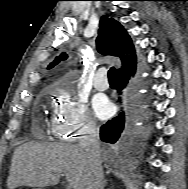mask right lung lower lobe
Segmentation results:
<instances>
[{
  "label": "right lung lower lobe",
  "instance_id": "1",
  "mask_svg": "<svg viewBox=\"0 0 188 189\" xmlns=\"http://www.w3.org/2000/svg\"><path fill=\"white\" fill-rule=\"evenodd\" d=\"M135 73H129L122 76H118V92H120L125 85L128 83L129 77ZM129 119H127L125 127V116L124 113H121L119 116L115 117L112 120H109L104 124L100 129V138L102 141L114 144L120 137L123 131H129Z\"/></svg>",
  "mask_w": 188,
  "mask_h": 189
}]
</instances>
